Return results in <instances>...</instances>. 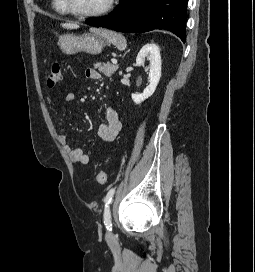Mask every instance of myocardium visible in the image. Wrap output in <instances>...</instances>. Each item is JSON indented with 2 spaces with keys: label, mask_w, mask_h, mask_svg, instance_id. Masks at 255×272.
I'll return each instance as SVG.
<instances>
[{
  "label": "myocardium",
  "mask_w": 255,
  "mask_h": 272,
  "mask_svg": "<svg viewBox=\"0 0 255 272\" xmlns=\"http://www.w3.org/2000/svg\"><path fill=\"white\" fill-rule=\"evenodd\" d=\"M114 2L115 0H107L106 4L101 9L94 12L82 13V12L76 11L73 8L70 0H63V4L67 12L80 19L101 17L107 14L112 9Z\"/></svg>",
  "instance_id": "myocardium-1"
}]
</instances>
